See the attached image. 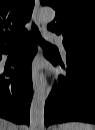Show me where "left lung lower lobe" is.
Masks as SVG:
<instances>
[{"mask_svg":"<svg viewBox=\"0 0 95 130\" xmlns=\"http://www.w3.org/2000/svg\"><path fill=\"white\" fill-rule=\"evenodd\" d=\"M65 71L45 103V125L68 121L95 123V57L66 54V66L44 54Z\"/></svg>","mask_w":95,"mask_h":130,"instance_id":"obj_1","label":"left lung lower lobe"}]
</instances>
